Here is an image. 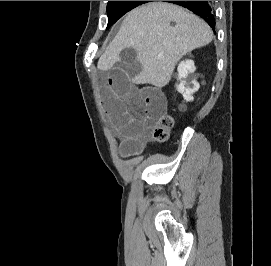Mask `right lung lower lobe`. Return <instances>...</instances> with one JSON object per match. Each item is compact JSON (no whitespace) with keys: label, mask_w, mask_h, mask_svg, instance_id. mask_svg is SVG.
Wrapping results in <instances>:
<instances>
[{"label":"right lung lower lobe","mask_w":271,"mask_h":266,"mask_svg":"<svg viewBox=\"0 0 271 266\" xmlns=\"http://www.w3.org/2000/svg\"><path fill=\"white\" fill-rule=\"evenodd\" d=\"M188 8L196 15L203 18L214 30L215 17L210 6V1H165Z\"/></svg>","instance_id":"obj_1"}]
</instances>
